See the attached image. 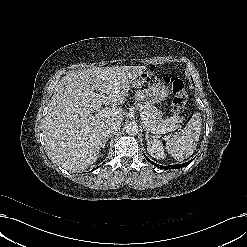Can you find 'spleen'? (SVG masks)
<instances>
[{
    "mask_svg": "<svg viewBox=\"0 0 247 247\" xmlns=\"http://www.w3.org/2000/svg\"><path fill=\"white\" fill-rule=\"evenodd\" d=\"M201 127V115L197 112L183 130L175 133L167 140L166 149L168 153L177 161H183L190 157L196 149Z\"/></svg>",
    "mask_w": 247,
    "mask_h": 247,
    "instance_id": "spleen-1",
    "label": "spleen"
}]
</instances>
